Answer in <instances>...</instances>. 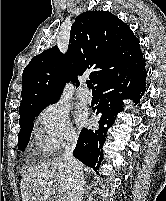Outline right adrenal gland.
<instances>
[{
	"mask_svg": "<svg viewBox=\"0 0 166 201\" xmlns=\"http://www.w3.org/2000/svg\"><path fill=\"white\" fill-rule=\"evenodd\" d=\"M88 193H89V187L86 185L85 186V194H86V196L88 195Z\"/></svg>",
	"mask_w": 166,
	"mask_h": 201,
	"instance_id": "right-adrenal-gland-1",
	"label": "right adrenal gland"
}]
</instances>
